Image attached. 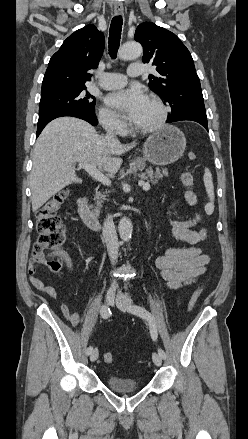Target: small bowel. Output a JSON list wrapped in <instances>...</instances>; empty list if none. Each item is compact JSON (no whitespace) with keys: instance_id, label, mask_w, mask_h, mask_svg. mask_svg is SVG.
<instances>
[{"instance_id":"small-bowel-1","label":"small bowel","mask_w":248,"mask_h":439,"mask_svg":"<svg viewBox=\"0 0 248 439\" xmlns=\"http://www.w3.org/2000/svg\"><path fill=\"white\" fill-rule=\"evenodd\" d=\"M185 198L190 205L197 203L196 195L191 191L185 192ZM201 216L196 215L192 220L171 221V234L174 238L182 240L190 245H195L207 237V230L196 229ZM68 271L72 272V263L68 256L64 255ZM210 258L199 247L169 248L155 259V266L160 270L163 284L172 290L193 284L206 271ZM38 263L32 258L29 262L28 272L31 284L40 292L52 299L58 295L54 287L47 286L37 276ZM64 317L72 324L80 322L79 313L71 308L66 302L60 303Z\"/></svg>"}]
</instances>
